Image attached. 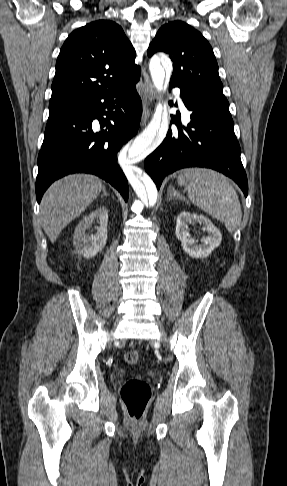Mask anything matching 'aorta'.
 Wrapping results in <instances>:
<instances>
[{"label":"aorta","mask_w":287,"mask_h":486,"mask_svg":"<svg viewBox=\"0 0 287 486\" xmlns=\"http://www.w3.org/2000/svg\"><path fill=\"white\" fill-rule=\"evenodd\" d=\"M149 69L154 86L160 92L163 88L165 72L170 76L172 72V62L169 57L154 55L149 63ZM169 127V117L167 110L161 103L156 106L155 113L148 126L134 140L130 149L129 156H137L145 153L148 149L157 147L166 137ZM128 182L138 195V197L154 206L157 201V188L151 179L142 180L136 170L130 166L123 167Z\"/></svg>","instance_id":"1"}]
</instances>
